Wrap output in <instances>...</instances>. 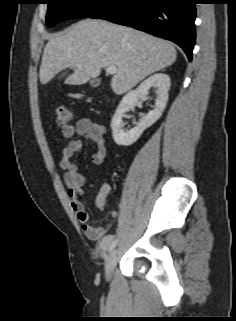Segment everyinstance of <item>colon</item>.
<instances>
[{
  "instance_id": "5ec220e1",
  "label": "colon",
  "mask_w": 236,
  "mask_h": 321,
  "mask_svg": "<svg viewBox=\"0 0 236 321\" xmlns=\"http://www.w3.org/2000/svg\"><path fill=\"white\" fill-rule=\"evenodd\" d=\"M57 113V123L59 126H65L69 124L72 120V114L66 107L60 106L56 110Z\"/></svg>"
}]
</instances>
